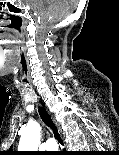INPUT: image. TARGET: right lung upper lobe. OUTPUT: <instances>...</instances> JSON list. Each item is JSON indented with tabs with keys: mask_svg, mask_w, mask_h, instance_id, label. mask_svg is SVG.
Returning a JSON list of instances; mask_svg holds the SVG:
<instances>
[{
	"mask_svg": "<svg viewBox=\"0 0 119 155\" xmlns=\"http://www.w3.org/2000/svg\"><path fill=\"white\" fill-rule=\"evenodd\" d=\"M9 153H10L11 155H15V152L12 151L11 148H10V150H9Z\"/></svg>",
	"mask_w": 119,
	"mask_h": 155,
	"instance_id": "obj_1",
	"label": "right lung upper lobe"
}]
</instances>
